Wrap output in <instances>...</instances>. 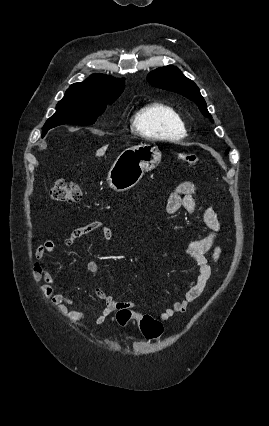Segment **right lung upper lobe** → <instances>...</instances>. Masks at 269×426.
<instances>
[{"label":"right lung upper lobe","mask_w":269,"mask_h":426,"mask_svg":"<svg viewBox=\"0 0 269 426\" xmlns=\"http://www.w3.org/2000/svg\"><path fill=\"white\" fill-rule=\"evenodd\" d=\"M124 90V79L94 74L83 82L72 84L66 94H82L92 97L118 98Z\"/></svg>","instance_id":"cb5924a9"}]
</instances>
